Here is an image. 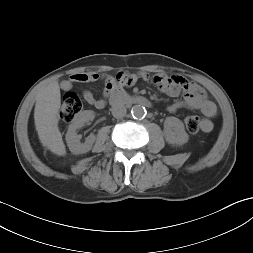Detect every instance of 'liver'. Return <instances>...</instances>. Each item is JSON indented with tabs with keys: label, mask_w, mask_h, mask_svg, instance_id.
Instances as JSON below:
<instances>
[{
	"label": "liver",
	"mask_w": 253,
	"mask_h": 253,
	"mask_svg": "<svg viewBox=\"0 0 253 253\" xmlns=\"http://www.w3.org/2000/svg\"><path fill=\"white\" fill-rule=\"evenodd\" d=\"M60 106V87L58 81H52L37 93L34 120L42 145L52 153L64 156L65 144L58 127Z\"/></svg>",
	"instance_id": "obj_1"
}]
</instances>
